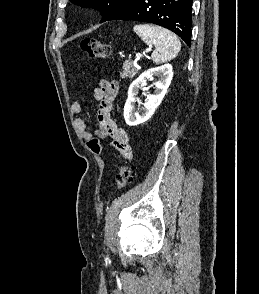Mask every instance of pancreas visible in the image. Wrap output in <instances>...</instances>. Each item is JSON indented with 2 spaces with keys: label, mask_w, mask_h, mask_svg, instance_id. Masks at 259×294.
I'll use <instances>...</instances> for the list:
<instances>
[{
  "label": "pancreas",
  "mask_w": 259,
  "mask_h": 294,
  "mask_svg": "<svg viewBox=\"0 0 259 294\" xmlns=\"http://www.w3.org/2000/svg\"><path fill=\"white\" fill-rule=\"evenodd\" d=\"M138 72L137 66L131 60H126L123 63V72L120 73L122 79L132 78Z\"/></svg>",
  "instance_id": "1"
}]
</instances>
